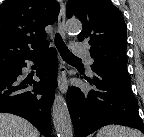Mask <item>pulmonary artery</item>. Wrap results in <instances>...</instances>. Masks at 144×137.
Segmentation results:
<instances>
[{"mask_svg": "<svg viewBox=\"0 0 144 137\" xmlns=\"http://www.w3.org/2000/svg\"><path fill=\"white\" fill-rule=\"evenodd\" d=\"M73 51L75 55L85 57L89 63H93V58L90 56L88 50L82 43H74Z\"/></svg>", "mask_w": 144, "mask_h": 137, "instance_id": "e3ab8cb5", "label": "pulmonary artery"}]
</instances>
